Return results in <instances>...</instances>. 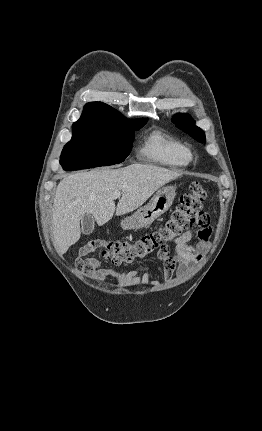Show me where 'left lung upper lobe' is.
Wrapping results in <instances>:
<instances>
[{"label":"left lung upper lobe","instance_id":"obj_1","mask_svg":"<svg viewBox=\"0 0 262 431\" xmlns=\"http://www.w3.org/2000/svg\"><path fill=\"white\" fill-rule=\"evenodd\" d=\"M172 121L176 124L178 128L188 133L198 142H205V134L199 127L194 125L193 119L188 114H176Z\"/></svg>","mask_w":262,"mask_h":431}]
</instances>
